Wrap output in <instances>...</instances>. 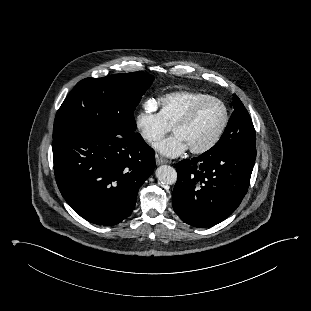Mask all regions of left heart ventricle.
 <instances>
[{"mask_svg":"<svg viewBox=\"0 0 311 311\" xmlns=\"http://www.w3.org/2000/svg\"><path fill=\"white\" fill-rule=\"evenodd\" d=\"M224 116L223 107L217 102H208L195 114L185 126L174 131L183 138L190 148H199L207 144L218 131Z\"/></svg>","mask_w":311,"mask_h":311,"instance_id":"left-heart-ventricle-1","label":"left heart ventricle"}]
</instances>
